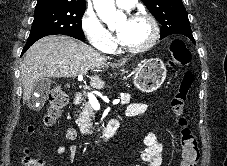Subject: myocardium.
I'll return each mask as SVG.
<instances>
[{
	"label": "myocardium",
	"instance_id": "1",
	"mask_svg": "<svg viewBox=\"0 0 227 166\" xmlns=\"http://www.w3.org/2000/svg\"><path fill=\"white\" fill-rule=\"evenodd\" d=\"M129 19L146 20L151 27V36H150L149 40L143 45L126 46L123 43H121L120 44L121 48L124 51L131 52V53H141V52H145V51L149 50L151 47H153L155 45L156 41L159 38V27H158V23H157L156 19L151 14H149L148 12H145V11H139V12L133 13L130 15Z\"/></svg>",
	"mask_w": 227,
	"mask_h": 166
}]
</instances>
